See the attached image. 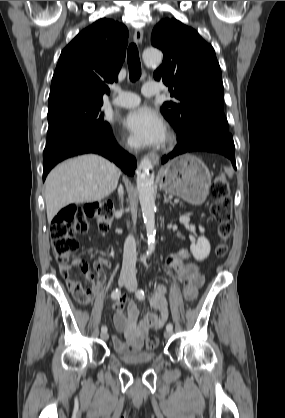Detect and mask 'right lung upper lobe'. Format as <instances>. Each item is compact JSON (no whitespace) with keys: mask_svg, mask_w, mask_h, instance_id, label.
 Listing matches in <instances>:
<instances>
[{"mask_svg":"<svg viewBox=\"0 0 285 418\" xmlns=\"http://www.w3.org/2000/svg\"><path fill=\"white\" fill-rule=\"evenodd\" d=\"M128 30L122 23L99 19L81 31L61 52L48 105L69 100L101 101L108 83L118 80L125 59Z\"/></svg>","mask_w":285,"mask_h":418,"instance_id":"obj_1","label":"right lung upper lobe"}]
</instances>
